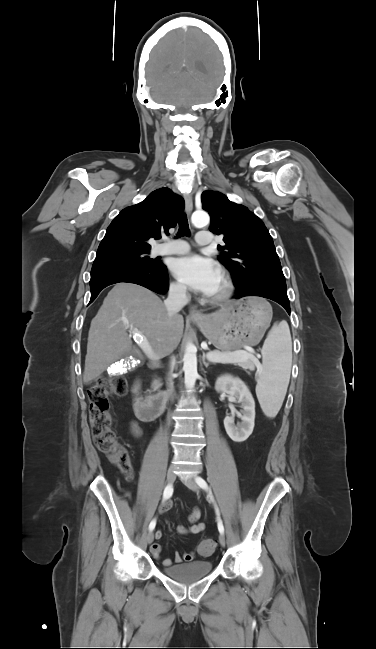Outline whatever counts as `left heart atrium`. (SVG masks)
Instances as JSON below:
<instances>
[{"label":"left heart atrium","instance_id":"obj_1","mask_svg":"<svg viewBox=\"0 0 376 649\" xmlns=\"http://www.w3.org/2000/svg\"><path fill=\"white\" fill-rule=\"evenodd\" d=\"M172 273L185 286L207 295L213 292L221 277L216 262L198 255L175 259Z\"/></svg>","mask_w":376,"mask_h":649}]
</instances>
